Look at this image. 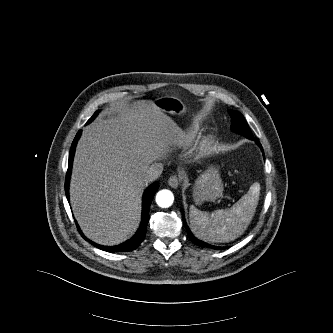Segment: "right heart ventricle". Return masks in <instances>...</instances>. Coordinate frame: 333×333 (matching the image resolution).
Here are the masks:
<instances>
[{
	"mask_svg": "<svg viewBox=\"0 0 333 333\" xmlns=\"http://www.w3.org/2000/svg\"><path fill=\"white\" fill-rule=\"evenodd\" d=\"M196 132L194 128L180 129L175 133V142L181 146H188L195 138Z\"/></svg>",
	"mask_w": 333,
	"mask_h": 333,
	"instance_id": "1",
	"label": "right heart ventricle"
}]
</instances>
